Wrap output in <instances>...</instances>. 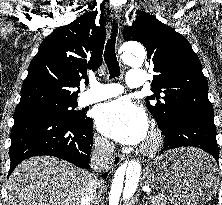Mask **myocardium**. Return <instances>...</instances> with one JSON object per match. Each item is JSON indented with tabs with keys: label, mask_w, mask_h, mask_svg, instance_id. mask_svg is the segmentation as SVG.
<instances>
[{
	"label": "myocardium",
	"mask_w": 222,
	"mask_h": 205,
	"mask_svg": "<svg viewBox=\"0 0 222 205\" xmlns=\"http://www.w3.org/2000/svg\"><path fill=\"white\" fill-rule=\"evenodd\" d=\"M163 143V136L159 130L153 129L142 144L140 152L143 155H152L159 150Z\"/></svg>",
	"instance_id": "f54148a6"
}]
</instances>
